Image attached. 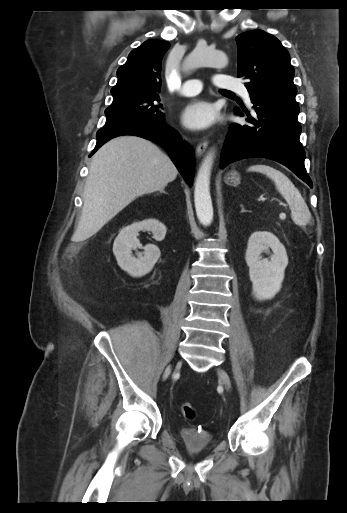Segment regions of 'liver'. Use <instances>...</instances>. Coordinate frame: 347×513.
<instances>
[{
	"mask_svg": "<svg viewBox=\"0 0 347 513\" xmlns=\"http://www.w3.org/2000/svg\"><path fill=\"white\" fill-rule=\"evenodd\" d=\"M177 173L170 158L151 141L138 136L111 139L92 157L73 237H92L137 197L163 190Z\"/></svg>",
	"mask_w": 347,
	"mask_h": 513,
	"instance_id": "obj_1",
	"label": "liver"
}]
</instances>
